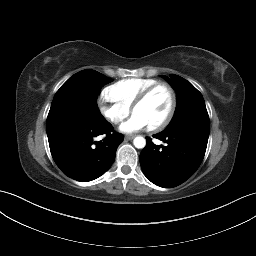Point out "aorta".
<instances>
[{
    "label": "aorta",
    "mask_w": 256,
    "mask_h": 256,
    "mask_svg": "<svg viewBox=\"0 0 256 256\" xmlns=\"http://www.w3.org/2000/svg\"><path fill=\"white\" fill-rule=\"evenodd\" d=\"M133 144H134V146H135L136 148L142 149V148H144L145 145H146V140H145V138L142 137V136H137V137L134 138Z\"/></svg>",
    "instance_id": "aorta-1"
}]
</instances>
